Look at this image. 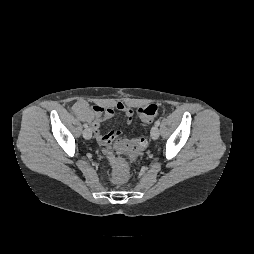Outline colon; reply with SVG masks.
Listing matches in <instances>:
<instances>
[{"label": "colon", "mask_w": 254, "mask_h": 254, "mask_svg": "<svg viewBox=\"0 0 254 254\" xmlns=\"http://www.w3.org/2000/svg\"><path fill=\"white\" fill-rule=\"evenodd\" d=\"M159 107L156 104H149L137 109V115L140 119L146 123L151 122L157 115ZM147 145V141L144 138L123 140L120 142V147L123 151L135 155L142 151ZM115 179L122 182L126 179V174L122 169H117L114 174Z\"/></svg>", "instance_id": "colon-1"}]
</instances>
